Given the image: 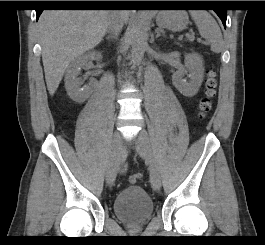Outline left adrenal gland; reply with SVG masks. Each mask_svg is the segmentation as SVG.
Masks as SVG:
<instances>
[{
  "label": "left adrenal gland",
  "mask_w": 265,
  "mask_h": 245,
  "mask_svg": "<svg viewBox=\"0 0 265 245\" xmlns=\"http://www.w3.org/2000/svg\"><path fill=\"white\" fill-rule=\"evenodd\" d=\"M155 33H156V39L161 36L160 30L156 29Z\"/></svg>",
  "instance_id": "1"
}]
</instances>
